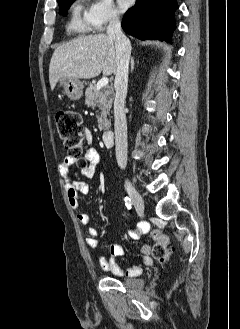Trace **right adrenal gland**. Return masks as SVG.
<instances>
[{"label":"right adrenal gland","mask_w":240,"mask_h":329,"mask_svg":"<svg viewBox=\"0 0 240 329\" xmlns=\"http://www.w3.org/2000/svg\"><path fill=\"white\" fill-rule=\"evenodd\" d=\"M133 69H134V59L132 58L131 59V70L133 71Z\"/></svg>","instance_id":"2a0ac1e0"}]
</instances>
